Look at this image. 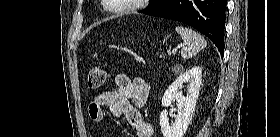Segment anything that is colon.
Here are the masks:
<instances>
[{"label":"colon","instance_id":"obj_1","mask_svg":"<svg viewBox=\"0 0 280 137\" xmlns=\"http://www.w3.org/2000/svg\"><path fill=\"white\" fill-rule=\"evenodd\" d=\"M106 78L107 71L103 66L92 67L87 74V85L90 89H99L105 84Z\"/></svg>","mask_w":280,"mask_h":137}]
</instances>
